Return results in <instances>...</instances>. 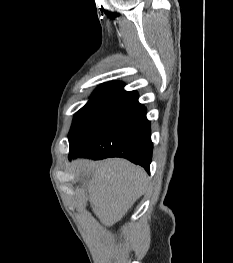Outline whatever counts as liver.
Returning <instances> with one entry per match:
<instances>
[{
	"label": "liver",
	"instance_id": "6515ba94",
	"mask_svg": "<svg viewBox=\"0 0 233 263\" xmlns=\"http://www.w3.org/2000/svg\"><path fill=\"white\" fill-rule=\"evenodd\" d=\"M72 167L78 175L91 176L88 199L94 214L105 226L121 220L148 187L144 169L124 159L77 160ZM77 194L79 200H85L84 189L77 190Z\"/></svg>",
	"mask_w": 233,
	"mask_h": 263
}]
</instances>
